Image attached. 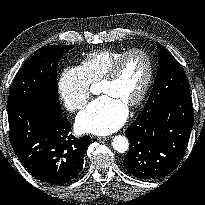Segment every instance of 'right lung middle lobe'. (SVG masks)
<instances>
[{"mask_svg": "<svg viewBox=\"0 0 205 205\" xmlns=\"http://www.w3.org/2000/svg\"><path fill=\"white\" fill-rule=\"evenodd\" d=\"M73 45H48L40 48L17 73L8 102L31 100L60 112L57 89V64Z\"/></svg>", "mask_w": 205, "mask_h": 205, "instance_id": "dd1d6c3e", "label": "right lung middle lobe"}]
</instances>
